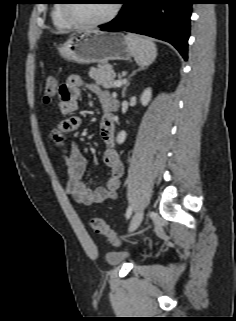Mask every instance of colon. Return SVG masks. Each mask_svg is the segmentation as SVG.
<instances>
[{"mask_svg": "<svg viewBox=\"0 0 236 321\" xmlns=\"http://www.w3.org/2000/svg\"><path fill=\"white\" fill-rule=\"evenodd\" d=\"M57 92V81L54 77H49L43 88V101L50 103ZM91 229L98 235L106 238L109 242L114 245L121 243L116 233L106 224V222L99 218H92L89 222Z\"/></svg>", "mask_w": 236, "mask_h": 321, "instance_id": "5ec220e1", "label": "colon"}]
</instances>
